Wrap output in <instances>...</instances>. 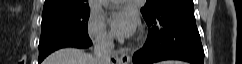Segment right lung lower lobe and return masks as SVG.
<instances>
[{
    "label": "right lung lower lobe",
    "instance_id": "98d812e1",
    "mask_svg": "<svg viewBox=\"0 0 242 64\" xmlns=\"http://www.w3.org/2000/svg\"><path fill=\"white\" fill-rule=\"evenodd\" d=\"M91 44H92V43H91ZM91 44L88 45V46H86V47H84V48H87V47L91 46ZM42 60H43V59H42ZM42 60L40 59V60H39V63L42 62ZM113 61H114V60H113Z\"/></svg>",
    "mask_w": 242,
    "mask_h": 64
}]
</instances>
